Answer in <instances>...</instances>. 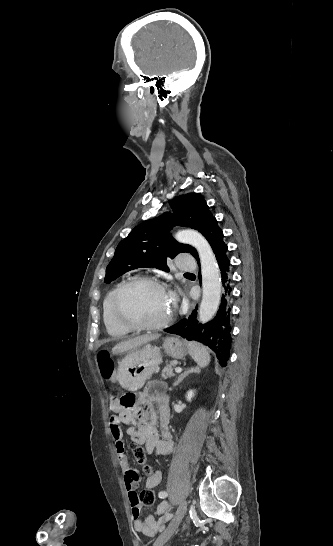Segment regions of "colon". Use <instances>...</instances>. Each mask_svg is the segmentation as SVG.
<instances>
[{
	"label": "colon",
	"mask_w": 333,
	"mask_h": 546,
	"mask_svg": "<svg viewBox=\"0 0 333 546\" xmlns=\"http://www.w3.org/2000/svg\"><path fill=\"white\" fill-rule=\"evenodd\" d=\"M98 361L103 375L107 378L112 371V365L108 360L107 353L105 351L99 353ZM117 403V402H115ZM120 405L126 407H134L136 405V397L134 394H127L120 399ZM133 453L136 460L144 466V471L147 475L152 474V469L146 464L145 449L141 445H136L133 448ZM140 506H152L156 501L155 492L150 489H144L138 496Z\"/></svg>",
	"instance_id": "obj_1"
}]
</instances>
